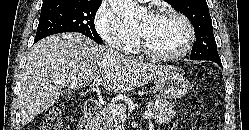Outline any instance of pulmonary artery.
<instances>
[{"mask_svg": "<svg viewBox=\"0 0 249 130\" xmlns=\"http://www.w3.org/2000/svg\"><path fill=\"white\" fill-rule=\"evenodd\" d=\"M138 1H141V2H147V1H149V0H138Z\"/></svg>", "mask_w": 249, "mask_h": 130, "instance_id": "e3ab8cb5", "label": "pulmonary artery"}]
</instances>
